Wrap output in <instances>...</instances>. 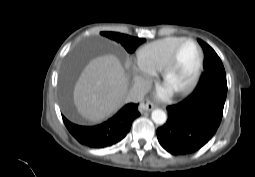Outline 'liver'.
<instances>
[{
  "label": "liver",
  "instance_id": "1",
  "mask_svg": "<svg viewBox=\"0 0 255 177\" xmlns=\"http://www.w3.org/2000/svg\"><path fill=\"white\" fill-rule=\"evenodd\" d=\"M127 88L128 78L119 59L103 55L92 59L80 74L73 101L82 117L97 123L126 102Z\"/></svg>",
  "mask_w": 255,
  "mask_h": 177
}]
</instances>
